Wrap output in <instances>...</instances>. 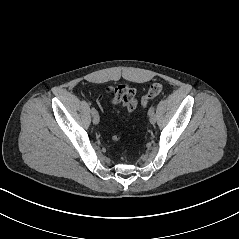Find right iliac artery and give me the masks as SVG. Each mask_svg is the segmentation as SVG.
<instances>
[{"instance_id": "obj_1", "label": "right iliac artery", "mask_w": 239, "mask_h": 239, "mask_svg": "<svg viewBox=\"0 0 239 239\" xmlns=\"http://www.w3.org/2000/svg\"><path fill=\"white\" fill-rule=\"evenodd\" d=\"M96 112H97L96 109H95L94 107H92L91 113H92V114H95Z\"/></svg>"}]
</instances>
